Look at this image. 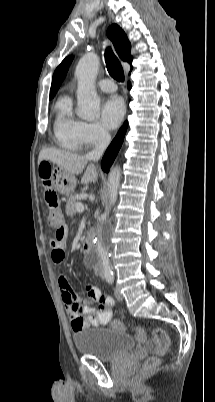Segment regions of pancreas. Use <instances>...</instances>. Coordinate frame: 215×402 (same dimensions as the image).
Here are the masks:
<instances>
[{
    "instance_id": "cf45deb5",
    "label": "pancreas",
    "mask_w": 215,
    "mask_h": 402,
    "mask_svg": "<svg viewBox=\"0 0 215 402\" xmlns=\"http://www.w3.org/2000/svg\"><path fill=\"white\" fill-rule=\"evenodd\" d=\"M79 203L78 198L70 196L66 204V214L73 216L76 213V204Z\"/></svg>"
}]
</instances>
